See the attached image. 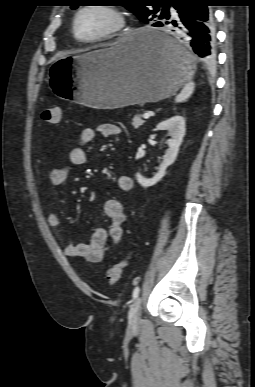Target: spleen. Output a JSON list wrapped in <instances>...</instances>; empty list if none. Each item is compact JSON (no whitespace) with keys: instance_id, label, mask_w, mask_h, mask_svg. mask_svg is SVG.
Returning a JSON list of instances; mask_svg holds the SVG:
<instances>
[{"instance_id":"1","label":"spleen","mask_w":255,"mask_h":387,"mask_svg":"<svg viewBox=\"0 0 255 387\" xmlns=\"http://www.w3.org/2000/svg\"><path fill=\"white\" fill-rule=\"evenodd\" d=\"M195 89V84L192 81H189L185 84L182 91L176 96V102H185L193 93Z\"/></svg>"}]
</instances>
